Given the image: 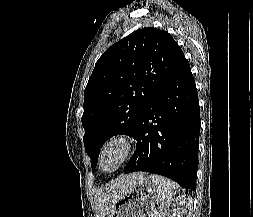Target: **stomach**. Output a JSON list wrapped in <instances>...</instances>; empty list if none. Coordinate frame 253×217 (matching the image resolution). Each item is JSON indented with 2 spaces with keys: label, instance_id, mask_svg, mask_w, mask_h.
Masks as SVG:
<instances>
[{
  "label": "stomach",
  "instance_id": "stomach-1",
  "mask_svg": "<svg viewBox=\"0 0 253 217\" xmlns=\"http://www.w3.org/2000/svg\"><path fill=\"white\" fill-rule=\"evenodd\" d=\"M156 202L157 187L149 178L143 176L117 200L112 217H150Z\"/></svg>",
  "mask_w": 253,
  "mask_h": 217
}]
</instances>
